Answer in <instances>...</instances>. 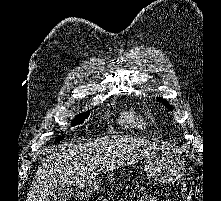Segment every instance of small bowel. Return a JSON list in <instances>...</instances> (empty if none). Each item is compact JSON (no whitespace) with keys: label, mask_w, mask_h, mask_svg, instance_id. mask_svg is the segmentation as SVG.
Returning <instances> with one entry per match:
<instances>
[{"label":"small bowel","mask_w":221,"mask_h":201,"mask_svg":"<svg viewBox=\"0 0 221 201\" xmlns=\"http://www.w3.org/2000/svg\"><path fill=\"white\" fill-rule=\"evenodd\" d=\"M137 201H158V200L155 199V198H152V197H150V196H148V195H142V196H140V197L138 198Z\"/></svg>","instance_id":"1"}]
</instances>
